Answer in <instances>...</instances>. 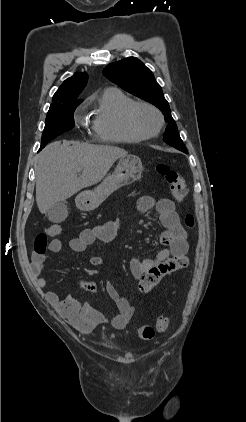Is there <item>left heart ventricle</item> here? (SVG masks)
<instances>
[{"instance_id":"left-heart-ventricle-1","label":"left heart ventricle","mask_w":246,"mask_h":422,"mask_svg":"<svg viewBox=\"0 0 246 422\" xmlns=\"http://www.w3.org/2000/svg\"><path fill=\"white\" fill-rule=\"evenodd\" d=\"M136 121L145 132H153L159 123L157 115L148 108H140L136 113Z\"/></svg>"}]
</instances>
